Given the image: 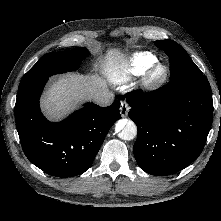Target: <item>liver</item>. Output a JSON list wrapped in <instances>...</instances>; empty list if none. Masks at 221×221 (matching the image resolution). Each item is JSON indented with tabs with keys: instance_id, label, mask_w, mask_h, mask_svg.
<instances>
[{
	"instance_id": "6515ba94",
	"label": "liver",
	"mask_w": 221,
	"mask_h": 221,
	"mask_svg": "<svg viewBox=\"0 0 221 221\" xmlns=\"http://www.w3.org/2000/svg\"><path fill=\"white\" fill-rule=\"evenodd\" d=\"M121 58L118 50H110L106 55V61L111 66ZM107 92L106 81L97 75L67 74L47 88L42 99V110L50 119L60 120L79 102L92 100Z\"/></svg>"
}]
</instances>
